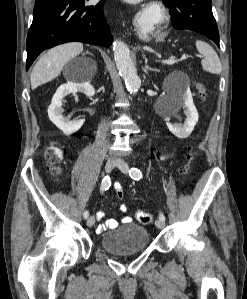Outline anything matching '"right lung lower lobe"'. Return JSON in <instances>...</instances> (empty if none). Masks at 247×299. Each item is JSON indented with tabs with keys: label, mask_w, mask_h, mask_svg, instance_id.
I'll use <instances>...</instances> for the list:
<instances>
[{
	"label": "right lung lower lobe",
	"mask_w": 247,
	"mask_h": 299,
	"mask_svg": "<svg viewBox=\"0 0 247 299\" xmlns=\"http://www.w3.org/2000/svg\"><path fill=\"white\" fill-rule=\"evenodd\" d=\"M86 1L45 0L35 4L27 35L26 70L43 50L62 43L111 45L113 38L103 15L105 0L90 6Z\"/></svg>",
	"instance_id": "98d812e1"
}]
</instances>
